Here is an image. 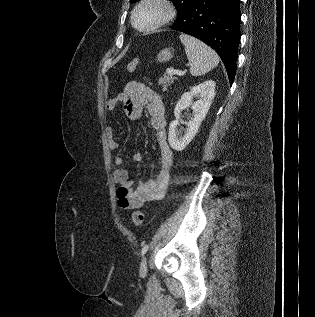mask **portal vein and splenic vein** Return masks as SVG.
<instances>
[{
	"label": "portal vein and splenic vein",
	"instance_id": "18ae733b",
	"mask_svg": "<svg viewBox=\"0 0 315 317\" xmlns=\"http://www.w3.org/2000/svg\"><path fill=\"white\" fill-rule=\"evenodd\" d=\"M170 72L171 75L175 74V75H178V76H183L185 74V71H180V70H167Z\"/></svg>",
	"mask_w": 315,
	"mask_h": 317
}]
</instances>
